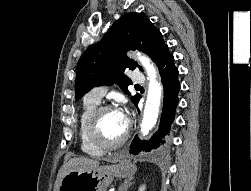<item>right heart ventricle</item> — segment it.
Here are the masks:
<instances>
[{
    "mask_svg": "<svg viewBox=\"0 0 251 191\" xmlns=\"http://www.w3.org/2000/svg\"><path fill=\"white\" fill-rule=\"evenodd\" d=\"M99 100L95 98L84 99L77 118L76 141L81 154L91 158H99L105 151L93 146L86 133L87 123L93 111L99 106Z\"/></svg>",
    "mask_w": 251,
    "mask_h": 191,
    "instance_id": "e07e8e85",
    "label": "right heart ventricle"
}]
</instances>
